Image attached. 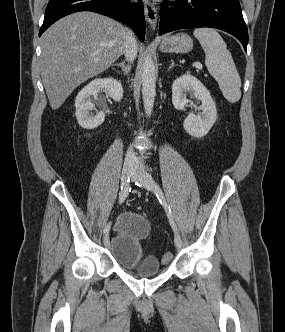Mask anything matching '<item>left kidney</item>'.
I'll use <instances>...</instances> for the list:
<instances>
[{"instance_id": "5707ae66", "label": "left kidney", "mask_w": 285, "mask_h": 332, "mask_svg": "<svg viewBox=\"0 0 285 332\" xmlns=\"http://www.w3.org/2000/svg\"><path fill=\"white\" fill-rule=\"evenodd\" d=\"M188 93H194L196 99L201 101L202 112L199 115L190 113L184 120L183 127L191 136L201 138L209 132L216 121V105L210 92L196 77L184 74L178 77L172 85V103L177 110H185Z\"/></svg>"}]
</instances>
